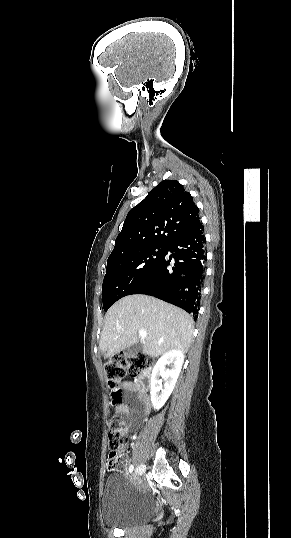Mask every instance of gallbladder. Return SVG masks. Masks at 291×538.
<instances>
[{
  "label": "gallbladder",
  "instance_id": "1",
  "mask_svg": "<svg viewBox=\"0 0 291 538\" xmlns=\"http://www.w3.org/2000/svg\"><path fill=\"white\" fill-rule=\"evenodd\" d=\"M142 348H143V345L140 342H137L136 344L132 345L129 348V353L130 354L138 353L142 350Z\"/></svg>",
  "mask_w": 291,
  "mask_h": 538
}]
</instances>
